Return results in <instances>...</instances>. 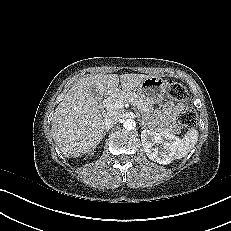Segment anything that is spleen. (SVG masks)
<instances>
[{
  "label": "spleen",
  "instance_id": "3e777b00",
  "mask_svg": "<svg viewBox=\"0 0 231 231\" xmlns=\"http://www.w3.org/2000/svg\"><path fill=\"white\" fill-rule=\"evenodd\" d=\"M199 133L196 129H190L175 149L174 158L181 159L189 154V152L197 144Z\"/></svg>",
  "mask_w": 231,
  "mask_h": 231
}]
</instances>
